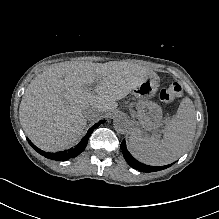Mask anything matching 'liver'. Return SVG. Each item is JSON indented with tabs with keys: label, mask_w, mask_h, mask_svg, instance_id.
I'll use <instances>...</instances> for the list:
<instances>
[{
	"label": "liver",
	"mask_w": 219,
	"mask_h": 219,
	"mask_svg": "<svg viewBox=\"0 0 219 219\" xmlns=\"http://www.w3.org/2000/svg\"><path fill=\"white\" fill-rule=\"evenodd\" d=\"M149 74L144 67L115 61L65 62L47 67L31 80L22 97V128L42 150L68 149L81 137L87 120L115 111L116 101L126 97ZM93 84L92 92L84 88Z\"/></svg>",
	"instance_id": "1"
}]
</instances>
